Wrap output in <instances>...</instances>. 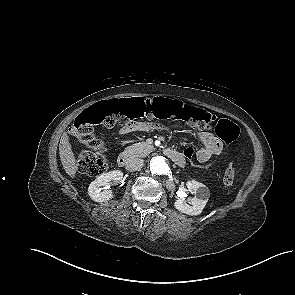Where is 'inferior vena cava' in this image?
Here are the masks:
<instances>
[{"mask_svg":"<svg viewBox=\"0 0 295 295\" xmlns=\"http://www.w3.org/2000/svg\"><path fill=\"white\" fill-rule=\"evenodd\" d=\"M143 166V160L140 158H130L127 162H126V170L128 171H136L140 168H142Z\"/></svg>","mask_w":295,"mask_h":295,"instance_id":"inferior-vena-cava-1","label":"inferior vena cava"}]
</instances>
